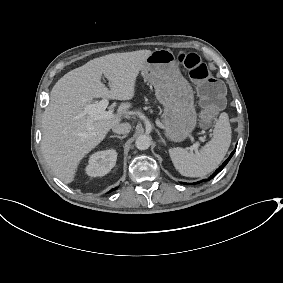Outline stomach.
Wrapping results in <instances>:
<instances>
[{"instance_id": "0dacf381", "label": "stomach", "mask_w": 283, "mask_h": 283, "mask_svg": "<svg viewBox=\"0 0 283 283\" xmlns=\"http://www.w3.org/2000/svg\"><path fill=\"white\" fill-rule=\"evenodd\" d=\"M141 75L154 86L156 98L164 106L166 136L175 142L183 141L195 128L197 114L193 89L182 76L173 52L168 49L151 52Z\"/></svg>"}]
</instances>
